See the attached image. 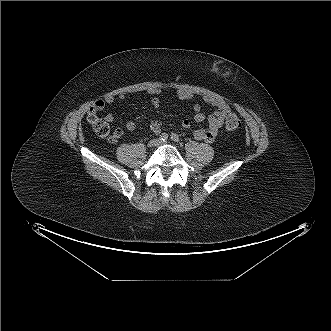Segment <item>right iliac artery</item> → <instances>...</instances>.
Here are the masks:
<instances>
[{
  "label": "right iliac artery",
  "mask_w": 331,
  "mask_h": 331,
  "mask_svg": "<svg viewBox=\"0 0 331 331\" xmlns=\"http://www.w3.org/2000/svg\"><path fill=\"white\" fill-rule=\"evenodd\" d=\"M161 141H166L168 139V134L167 133H162L159 138Z\"/></svg>",
  "instance_id": "obj_1"
}]
</instances>
